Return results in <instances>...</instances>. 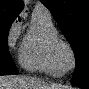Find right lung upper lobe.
I'll use <instances>...</instances> for the list:
<instances>
[{
    "instance_id": "cb5924a9",
    "label": "right lung upper lobe",
    "mask_w": 89,
    "mask_h": 89,
    "mask_svg": "<svg viewBox=\"0 0 89 89\" xmlns=\"http://www.w3.org/2000/svg\"><path fill=\"white\" fill-rule=\"evenodd\" d=\"M23 7L22 0H0V15L16 18Z\"/></svg>"
}]
</instances>
